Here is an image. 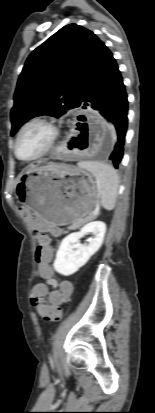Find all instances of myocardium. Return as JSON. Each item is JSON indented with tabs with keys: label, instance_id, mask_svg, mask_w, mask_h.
<instances>
[{
	"label": "myocardium",
	"instance_id": "1",
	"mask_svg": "<svg viewBox=\"0 0 155 413\" xmlns=\"http://www.w3.org/2000/svg\"><path fill=\"white\" fill-rule=\"evenodd\" d=\"M36 123H43V124L47 125L51 129L52 135H51V138H50L47 146L39 154H37L36 156H34L32 158L26 159V158L21 157L18 153L19 140H20V137H21L22 133L25 131V129H27L29 126H31L33 124H36ZM58 135H59V130H58V127H57L56 123L53 120H51L49 118H46V117H35V118L27 121L19 129V131L17 133V136H16V139H15V143H14V154H15V156L18 160L23 161V162H31V161L37 160V159L41 158L42 156H44L45 154H47L52 149V147L54 146V144H55V142L58 138Z\"/></svg>",
	"mask_w": 155,
	"mask_h": 413
}]
</instances>
